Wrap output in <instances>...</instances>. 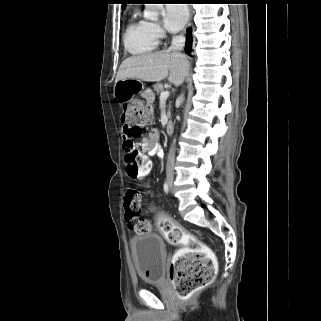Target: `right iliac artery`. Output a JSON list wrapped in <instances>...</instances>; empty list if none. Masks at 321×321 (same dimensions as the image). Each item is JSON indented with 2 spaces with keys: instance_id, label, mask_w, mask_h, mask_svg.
Masks as SVG:
<instances>
[{
  "instance_id": "82829eb1",
  "label": "right iliac artery",
  "mask_w": 321,
  "mask_h": 321,
  "mask_svg": "<svg viewBox=\"0 0 321 321\" xmlns=\"http://www.w3.org/2000/svg\"><path fill=\"white\" fill-rule=\"evenodd\" d=\"M163 188H164L165 193L169 192V187H168V183L167 182L164 183Z\"/></svg>"
}]
</instances>
